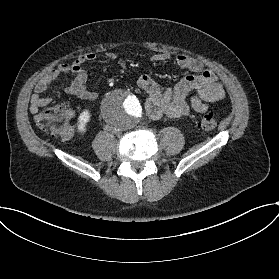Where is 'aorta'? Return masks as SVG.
<instances>
[{"label":"aorta","mask_w":279,"mask_h":279,"mask_svg":"<svg viewBox=\"0 0 279 279\" xmlns=\"http://www.w3.org/2000/svg\"><path fill=\"white\" fill-rule=\"evenodd\" d=\"M102 113L108 125L118 132L134 127L143 109L137 96L126 89H117L105 97Z\"/></svg>","instance_id":"obj_1"}]
</instances>
